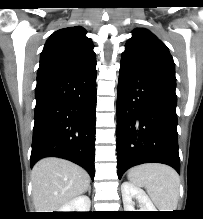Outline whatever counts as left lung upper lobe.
<instances>
[{"mask_svg": "<svg viewBox=\"0 0 203 219\" xmlns=\"http://www.w3.org/2000/svg\"><path fill=\"white\" fill-rule=\"evenodd\" d=\"M121 61L158 72L176 80L174 61L168 48L155 35L143 28L133 31Z\"/></svg>", "mask_w": 203, "mask_h": 219, "instance_id": "left-lung-upper-lobe-1", "label": "left lung upper lobe"}]
</instances>
